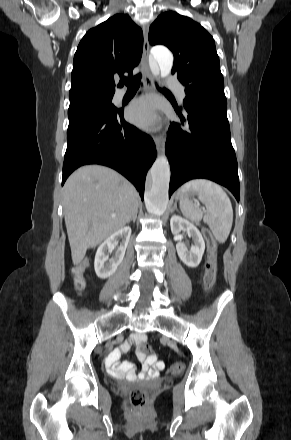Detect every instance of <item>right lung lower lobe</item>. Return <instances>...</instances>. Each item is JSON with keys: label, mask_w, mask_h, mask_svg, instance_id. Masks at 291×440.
<instances>
[{"label": "right lung lower lobe", "mask_w": 291, "mask_h": 440, "mask_svg": "<svg viewBox=\"0 0 291 440\" xmlns=\"http://www.w3.org/2000/svg\"><path fill=\"white\" fill-rule=\"evenodd\" d=\"M68 117L62 185L78 167L101 164L124 175L143 200L146 174L157 155L150 136L125 122L122 109L77 105L69 107Z\"/></svg>", "instance_id": "right-lung-lower-lobe-1"}]
</instances>
